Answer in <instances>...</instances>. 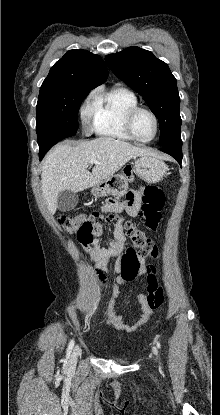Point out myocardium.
<instances>
[{"instance_id": "f54148a6", "label": "myocardium", "mask_w": 220, "mask_h": 415, "mask_svg": "<svg viewBox=\"0 0 220 415\" xmlns=\"http://www.w3.org/2000/svg\"><path fill=\"white\" fill-rule=\"evenodd\" d=\"M139 112H146V113L150 114L151 117L154 120L155 132H154V135L150 139H146V140L140 139L139 137H137V135L134 132L133 123H134L135 116ZM125 125H126V129L129 133V135L139 143H149V142L153 141L157 137L158 132H159V120H158L157 115L155 114L154 111H152L151 109L146 108V107L136 106V107H133L132 109H130L129 112L127 113V116H126Z\"/></svg>"}]
</instances>
